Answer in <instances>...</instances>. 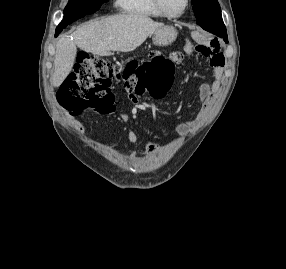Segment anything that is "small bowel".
<instances>
[{"label":"small bowel","instance_id":"1","mask_svg":"<svg viewBox=\"0 0 286 269\" xmlns=\"http://www.w3.org/2000/svg\"><path fill=\"white\" fill-rule=\"evenodd\" d=\"M209 49L204 47L202 50L197 51L196 48L193 49L192 45L189 43L185 47L187 53H191L195 50L201 56L207 58L213 69V79L210 82L203 83L199 88V112L195 118L188 119L176 124L175 128L178 132L182 134H188L191 129L197 126L200 121L207 115L211 104L213 96L219 91L221 80L223 77V67H224V56L220 51L219 45L214 42L208 43ZM176 57L174 58V63L180 64L182 62V56L174 52ZM127 99H136V94H127ZM127 119L128 117L125 116ZM139 133L136 130H130L127 133V140L131 144H136L139 140ZM158 153L157 144L148 139L146 142V157L152 159ZM137 156L135 150L130 152V160L134 161Z\"/></svg>","mask_w":286,"mask_h":269}]
</instances>
